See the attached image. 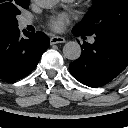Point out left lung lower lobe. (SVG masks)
Here are the masks:
<instances>
[{
	"label": "left lung lower lobe",
	"instance_id": "left-lung-lower-lobe-1",
	"mask_svg": "<svg viewBox=\"0 0 128 128\" xmlns=\"http://www.w3.org/2000/svg\"><path fill=\"white\" fill-rule=\"evenodd\" d=\"M72 33L86 35L75 28ZM81 47L80 58L69 65V70L76 80L86 86H103L128 65V34L95 36L93 44L84 42Z\"/></svg>",
	"mask_w": 128,
	"mask_h": 128
}]
</instances>
